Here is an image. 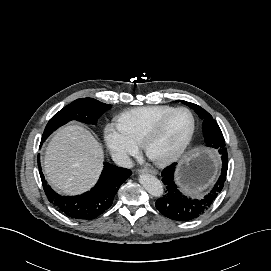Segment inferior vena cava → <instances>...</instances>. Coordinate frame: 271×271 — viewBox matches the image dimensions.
Returning <instances> with one entry per match:
<instances>
[{"instance_id": "1", "label": "inferior vena cava", "mask_w": 271, "mask_h": 271, "mask_svg": "<svg viewBox=\"0 0 271 271\" xmlns=\"http://www.w3.org/2000/svg\"><path fill=\"white\" fill-rule=\"evenodd\" d=\"M112 159L115 164L125 168H132L133 162L125 152H115L112 154Z\"/></svg>"}]
</instances>
